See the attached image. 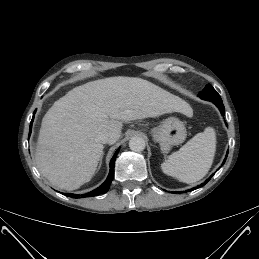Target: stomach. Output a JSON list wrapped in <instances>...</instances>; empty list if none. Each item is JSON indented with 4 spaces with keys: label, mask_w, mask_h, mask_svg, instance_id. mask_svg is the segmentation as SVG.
Wrapping results in <instances>:
<instances>
[{
    "label": "stomach",
    "mask_w": 259,
    "mask_h": 259,
    "mask_svg": "<svg viewBox=\"0 0 259 259\" xmlns=\"http://www.w3.org/2000/svg\"><path fill=\"white\" fill-rule=\"evenodd\" d=\"M152 138L159 143L161 151L168 153L175 145L183 143L187 136L186 127L176 117H169L151 130Z\"/></svg>",
    "instance_id": "obj_1"
}]
</instances>
